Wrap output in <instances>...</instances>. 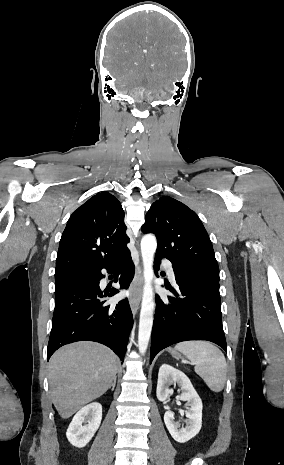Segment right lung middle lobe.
Listing matches in <instances>:
<instances>
[{"instance_id":"dd1d6c3e","label":"right lung middle lobe","mask_w":284,"mask_h":465,"mask_svg":"<svg viewBox=\"0 0 284 465\" xmlns=\"http://www.w3.org/2000/svg\"><path fill=\"white\" fill-rule=\"evenodd\" d=\"M69 280H71V279H69ZM66 281H68V280L56 281L55 287H57V286H59V285L65 283Z\"/></svg>"}]
</instances>
